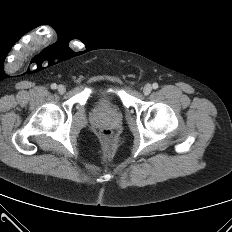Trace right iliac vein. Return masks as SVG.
Listing matches in <instances>:
<instances>
[{"mask_svg": "<svg viewBox=\"0 0 232 232\" xmlns=\"http://www.w3.org/2000/svg\"><path fill=\"white\" fill-rule=\"evenodd\" d=\"M57 90H58V92H59L60 94H63V93H65V91H66V87H65L64 85H59V86L57 87Z\"/></svg>", "mask_w": 232, "mask_h": 232, "instance_id": "obj_1", "label": "right iliac vein"}]
</instances>
